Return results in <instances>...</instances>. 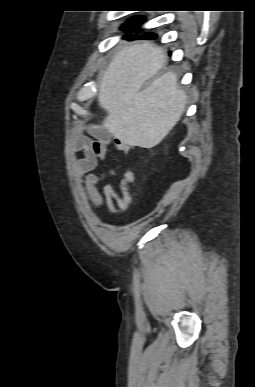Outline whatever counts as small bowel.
<instances>
[{
  "instance_id": "small-bowel-1",
  "label": "small bowel",
  "mask_w": 255,
  "mask_h": 387,
  "mask_svg": "<svg viewBox=\"0 0 255 387\" xmlns=\"http://www.w3.org/2000/svg\"><path fill=\"white\" fill-rule=\"evenodd\" d=\"M114 148L118 153L129 155V146L121 140H112L110 135L101 129L78 125L73 134V151L82 153L76 160L75 175L78 181L84 185L89 201L95 207H100L105 201L112 213H121L129 209L132 198L129 187L136 180V174L132 170H126L119 184V192L110 184L103 187V196L97 185L106 177L114 175L110 169L105 174L94 173L100 161H105L108 151Z\"/></svg>"
}]
</instances>
